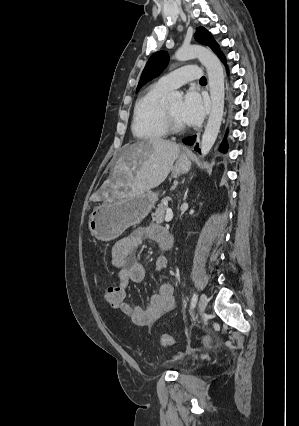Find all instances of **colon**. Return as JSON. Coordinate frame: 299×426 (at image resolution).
Listing matches in <instances>:
<instances>
[{"instance_id":"obj_1","label":"colon","mask_w":299,"mask_h":426,"mask_svg":"<svg viewBox=\"0 0 299 426\" xmlns=\"http://www.w3.org/2000/svg\"><path fill=\"white\" fill-rule=\"evenodd\" d=\"M103 297L111 308L121 310L126 301V291L118 284L109 285L104 289ZM203 342L205 344H210L212 339L210 337H204ZM160 343L163 346H172L175 344V338L170 334H163L160 337Z\"/></svg>"}]
</instances>
